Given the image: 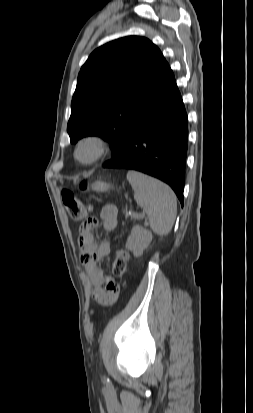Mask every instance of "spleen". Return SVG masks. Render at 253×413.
<instances>
[{
    "label": "spleen",
    "instance_id": "spleen-1",
    "mask_svg": "<svg viewBox=\"0 0 253 413\" xmlns=\"http://www.w3.org/2000/svg\"><path fill=\"white\" fill-rule=\"evenodd\" d=\"M127 180L137 204L149 218L151 229L160 236L167 235L177 214L174 192L163 182L134 170L128 171Z\"/></svg>",
    "mask_w": 253,
    "mask_h": 413
}]
</instances>
